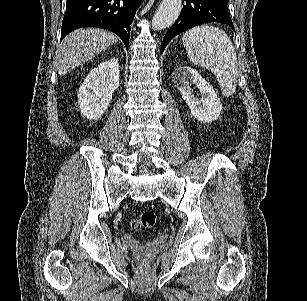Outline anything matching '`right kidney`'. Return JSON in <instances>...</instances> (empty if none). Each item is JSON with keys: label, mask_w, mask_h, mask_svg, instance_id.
Segmentation results:
<instances>
[{"label": "right kidney", "mask_w": 307, "mask_h": 301, "mask_svg": "<svg viewBox=\"0 0 307 301\" xmlns=\"http://www.w3.org/2000/svg\"><path fill=\"white\" fill-rule=\"evenodd\" d=\"M120 86L118 58H109L92 68L78 90V106L89 120H97L110 106L112 92Z\"/></svg>", "instance_id": "obj_1"}]
</instances>
